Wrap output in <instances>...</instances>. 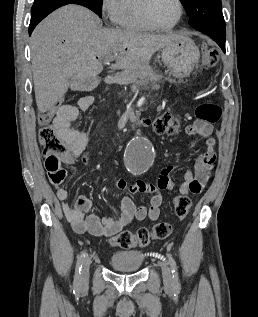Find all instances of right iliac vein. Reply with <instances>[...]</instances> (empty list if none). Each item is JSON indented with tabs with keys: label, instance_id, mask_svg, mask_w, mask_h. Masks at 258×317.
Segmentation results:
<instances>
[{
	"label": "right iliac vein",
	"instance_id": "obj_1",
	"mask_svg": "<svg viewBox=\"0 0 258 317\" xmlns=\"http://www.w3.org/2000/svg\"><path fill=\"white\" fill-rule=\"evenodd\" d=\"M91 259L88 257V258H85L84 261H83V264L81 265V275L83 277H88L90 275V265H91Z\"/></svg>",
	"mask_w": 258,
	"mask_h": 317
}]
</instances>
